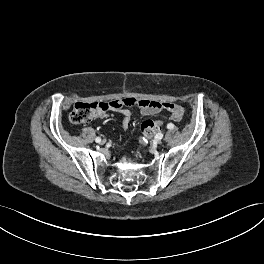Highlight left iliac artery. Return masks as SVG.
<instances>
[{
    "mask_svg": "<svg viewBox=\"0 0 264 264\" xmlns=\"http://www.w3.org/2000/svg\"><path fill=\"white\" fill-rule=\"evenodd\" d=\"M167 128L170 129V130L173 129V128H174V124L169 123V124L167 125Z\"/></svg>",
    "mask_w": 264,
    "mask_h": 264,
    "instance_id": "obj_1",
    "label": "left iliac artery"
}]
</instances>
